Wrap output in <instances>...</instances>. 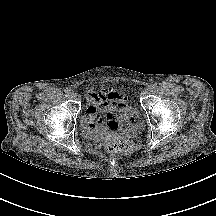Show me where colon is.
I'll list each match as a JSON object with an SVG mask.
<instances>
[{"mask_svg": "<svg viewBox=\"0 0 216 216\" xmlns=\"http://www.w3.org/2000/svg\"><path fill=\"white\" fill-rule=\"evenodd\" d=\"M133 143L123 138H111L105 143V148L108 152H126L131 150Z\"/></svg>", "mask_w": 216, "mask_h": 216, "instance_id": "colon-1", "label": "colon"}]
</instances>
